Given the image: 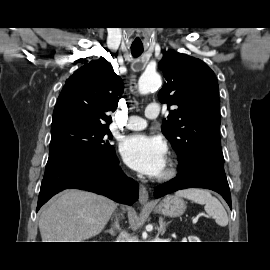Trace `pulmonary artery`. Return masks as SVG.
Returning a JSON list of instances; mask_svg holds the SVG:
<instances>
[{
	"label": "pulmonary artery",
	"instance_id": "1",
	"mask_svg": "<svg viewBox=\"0 0 270 270\" xmlns=\"http://www.w3.org/2000/svg\"><path fill=\"white\" fill-rule=\"evenodd\" d=\"M160 107L156 104L147 106L145 115L149 119H155L159 116ZM147 126V121L139 116H130L126 122L125 127L130 130H142Z\"/></svg>",
	"mask_w": 270,
	"mask_h": 270
}]
</instances>
